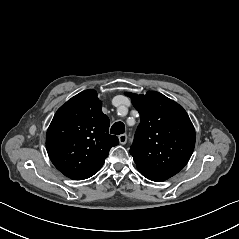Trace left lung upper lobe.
<instances>
[{
    "mask_svg": "<svg viewBox=\"0 0 239 239\" xmlns=\"http://www.w3.org/2000/svg\"><path fill=\"white\" fill-rule=\"evenodd\" d=\"M140 114L130 154L137 169L176 174L188 163L195 129L182 106L161 93H126Z\"/></svg>",
    "mask_w": 239,
    "mask_h": 239,
    "instance_id": "obj_1",
    "label": "left lung upper lobe"
}]
</instances>
